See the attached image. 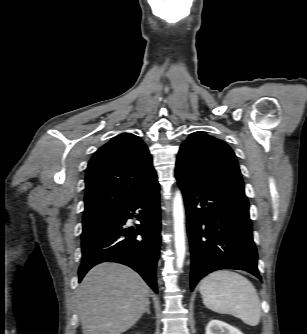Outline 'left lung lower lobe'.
Wrapping results in <instances>:
<instances>
[{"label":"left lung lower lobe","mask_w":307,"mask_h":334,"mask_svg":"<svg viewBox=\"0 0 307 334\" xmlns=\"http://www.w3.org/2000/svg\"><path fill=\"white\" fill-rule=\"evenodd\" d=\"M176 178L187 213L191 290L205 275L220 269L244 270L261 279L245 194L178 174Z\"/></svg>","instance_id":"1"}]
</instances>
